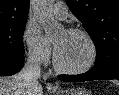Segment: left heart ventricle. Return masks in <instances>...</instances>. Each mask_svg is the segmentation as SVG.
I'll list each match as a JSON object with an SVG mask.
<instances>
[{
	"mask_svg": "<svg viewBox=\"0 0 119 95\" xmlns=\"http://www.w3.org/2000/svg\"><path fill=\"white\" fill-rule=\"evenodd\" d=\"M58 62L67 68L84 66L90 58V46L84 37L62 32L54 41Z\"/></svg>",
	"mask_w": 119,
	"mask_h": 95,
	"instance_id": "b2bd125f",
	"label": "left heart ventricle"
}]
</instances>
